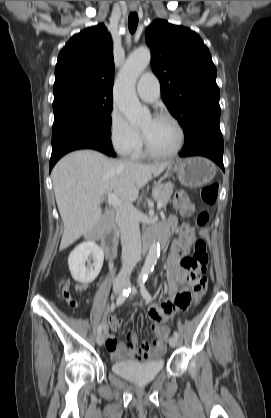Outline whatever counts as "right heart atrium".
<instances>
[{
  "instance_id": "1",
  "label": "right heart atrium",
  "mask_w": 271,
  "mask_h": 418,
  "mask_svg": "<svg viewBox=\"0 0 271 418\" xmlns=\"http://www.w3.org/2000/svg\"><path fill=\"white\" fill-rule=\"evenodd\" d=\"M109 138L112 147L121 156H131L142 143L141 132L115 106L109 116Z\"/></svg>"
}]
</instances>
